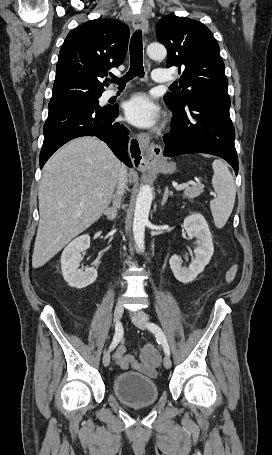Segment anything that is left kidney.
<instances>
[{
	"label": "left kidney",
	"mask_w": 272,
	"mask_h": 455,
	"mask_svg": "<svg viewBox=\"0 0 272 455\" xmlns=\"http://www.w3.org/2000/svg\"><path fill=\"white\" fill-rule=\"evenodd\" d=\"M183 226L189 238L197 239V247L194 249L195 258L188 268L182 266L177 255L170 258L169 264L175 278L186 284L192 282L198 274L203 272L214 253V247L207 221L200 213L187 216Z\"/></svg>",
	"instance_id": "1"
}]
</instances>
